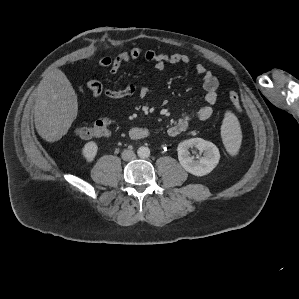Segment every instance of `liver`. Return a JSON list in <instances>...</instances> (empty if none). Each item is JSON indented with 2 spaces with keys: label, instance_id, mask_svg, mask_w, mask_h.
Masks as SVG:
<instances>
[{
  "label": "liver",
  "instance_id": "liver-1",
  "mask_svg": "<svg viewBox=\"0 0 299 299\" xmlns=\"http://www.w3.org/2000/svg\"><path fill=\"white\" fill-rule=\"evenodd\" d=\"M34 122L38 134L47 142L67 134L78 113L76 93L59 69L49 71L35 92Z\"/></svg>",
  "mask_w": 299,
  "mask_h": 299
}]
</instances>
